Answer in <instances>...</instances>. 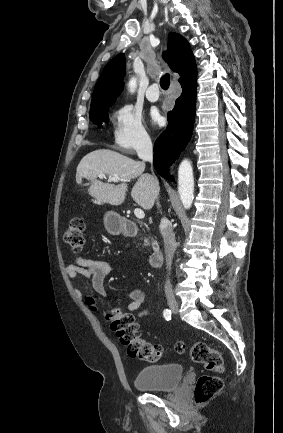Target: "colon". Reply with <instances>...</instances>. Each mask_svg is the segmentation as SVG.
Here are the masks:
<instances>
[{
	"label": "colon",
	"instance_id": "1",
	"mask_svg": "<svg viewBox=\"0 0 283 433\" xmlns=\"http://www.w3.org/2000/svg\"><path fill=\"white\" fill-rule=\"evenodd\" d=\"M65 243L74 253H79L85 245V223L83 219L75 217L63 233ZM106 318L111 322V329L116 333L121 343L127 348L130 357L148 362H156L163 355V347L150 343L141 337L138 324L131 313L123 312L120 308H113L106 312ZM186 346L180 342L176 345L178 353H184ZM190 356L195 363L202 364L212 374L200 376L194 388V400L203 404L219 393L223 388V381L217 375L224 369L221 354L207 343L198 341L189 348Z\"/></svg>",
	"mask_w": 283,
	"mask_h": 433
}]
</instances>
